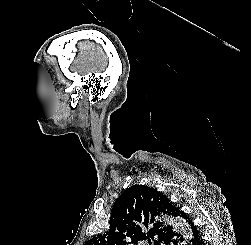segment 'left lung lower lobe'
I'll return each instance as SVG.
<instances>
[{
  "label": "left lung lower lobe",
  "mask_w": 251,
  "mask_h": 245,
  "mask_svg": "<svg viewBox=\"0 0 251 245\" xmlns=\"http://www.w3.org/2000/svg\"><path fill=\"white\" fill-rule=\"evenodd\" d=\"M181 218L184 219V223L189 228V243L192 245H205L204 240L202 238V234L198 230V228L193 224L191 219L182 211L181 213ZM184 241L183 237L179 233H172L168 236L166 241L164 242L167 245H181L182 242Z\"/></svg>",
  "instance_id": "left-lung-lower-lobe-1"
}]
</instances>
